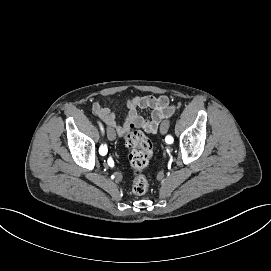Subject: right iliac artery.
<instances>
[{"instance_id":"right-iliac-artery-1","label":"right iliac artery","mask_w":271,"mask_h":271,"mask_svg":"<svg viewBox=\"0 0 271 271\" xmlns=\"http://www.w3.org/2000/svg\"><path fill=\"white\" fill-rule=\"evenodd\" d=\"M101 129L103 130V128L101 127ZM102 143H103V147L101 148V153L105 154L109 152V148H108V142L106 138L102 139Z\"/></svg>"}]
</instances>
